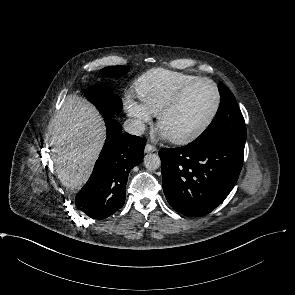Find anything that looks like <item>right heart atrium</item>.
<instances>
[{
    "instance_id": "d8ad5b80",
    "label": "right heart atrium",
    "mask_w": 295,
    "mask_h": 295,
    "mask_svg": "<svg viewBox=\"0 0 295 295\" xmlns=\"http://www.w3.org/2000/svg\"><path fill=\"white\" fill-rule=\"evenodd\" d=\"M126 110L135 120V126L138 132H142L152 122L153 114L143 102H138L129 97L126 101Z\"/></svg>"
}]
</instances>
